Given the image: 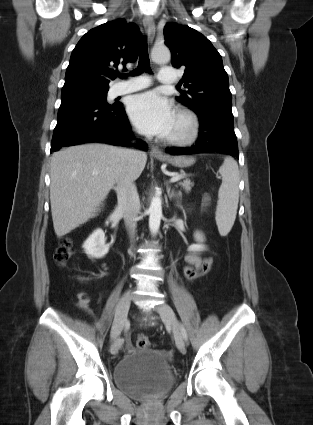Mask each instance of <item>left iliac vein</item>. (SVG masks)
Masks as SVG:
<instances>
[{
    "mask_svg": "<svg viewBox=\"0 0 313 425\" xmlns=\"http://www.w3.org/2000/svg\"><path fill=\"white\" fill-rule=\"evenodd\" d=\"M156 310L160 314V316L162 317L163 321L167 325L171 326V328L173 330L176 346L180 351H183L185 349V341H184L183 335L181 333V330L179 328L178 321H177V318L174 314V311L166 303H163V304H160L159 306H157Z\"/></svg>",
    "mask_w": 313,
    "mask_h": 425,
    "instance_id": "obj_1",
    "label": "left iliac vein"
}]
</instances>
